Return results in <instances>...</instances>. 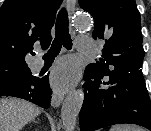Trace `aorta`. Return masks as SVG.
Returning <instances> with one entry per match:
<instances>
[{"instance_id":"aorta-1","label":"aorta","mask_w":151,"mask_h":131,"mask_svg":"<svg viewBox=\"0 0 151 131\" xmlns=\"http://www.w3.org/2000/svg\"><path fill=\"white\" fill-rule=\"evenodd\" d=\"M75 29L86 30L90 27V19L85 14L78 15L73 23ZM84 101V92L82 89L74 90L67 95L61 108V120L63 127L67 131H73L76 127L77 116L81 110Z\"/></svg>"}]
</instances>
